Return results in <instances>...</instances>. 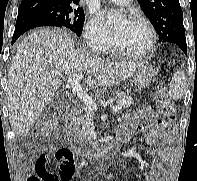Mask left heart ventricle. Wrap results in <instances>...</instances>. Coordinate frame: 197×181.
<instances>
[{"mask_svg": "<svg viewBox=\"0 0 197 181\" xmlns=\"http://www.w3.org/2000/svg\"><path fill=\"white\" fill-rule=\"evenodd\" d=\"M116 40L124 49L131 52H142L150 44L148 29L137 22L124 21L117 26Z\"/></svg>", "mask_w": 197, "mask_h": 181, "instance_id": "b2bd125f", "label": "left heart ventricle"}]
</instances>
